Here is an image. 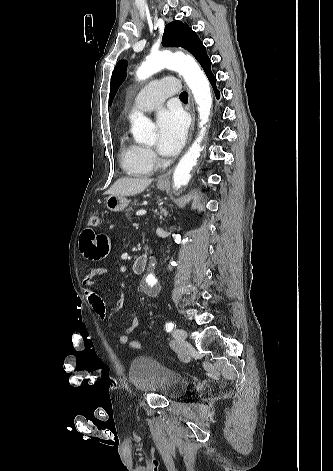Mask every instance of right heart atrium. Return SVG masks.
<instances>
[{
	"label": "right heart atrium",
	"instance_id": "d8ad5b80",
	"mask_svg": "<svg viewBox=\"0 0 333 471\" xmlns=\"http://www.w3.org/2000/svg\"><path fill=\"white\" fill-rule=\"evenodd\" d=\"M146 155H147V158L149 159V161L154 164L156 162V156L155 154L153 153V151L149 150V149H146Z\"/></svg>",
	"mask_w": 333,
	"mask_h": 471
}]
</instances>
